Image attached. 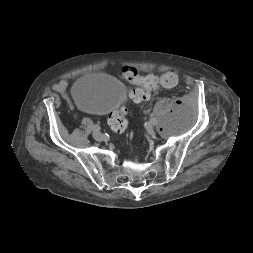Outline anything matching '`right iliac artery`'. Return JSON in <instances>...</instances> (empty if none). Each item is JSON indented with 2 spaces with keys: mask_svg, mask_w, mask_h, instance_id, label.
<instances>
[{
  "mask_svg": "<svg viewBox=\"0 0 253 253\" xmlns=\"http://www.w3.org/2000/svg\"><path fill=\"white\" fill-rule=\"evenodd\" d=\"M99 129H100V127H99L98 125H93V126H92V130H93V131L99 130Z\"/></svg>",
  "mask_w": 253,
  "mask_h": 253,
  "instance_id": "right-iliac-artery-1",
  "label": "right iliac artery"
}]
</instances>
